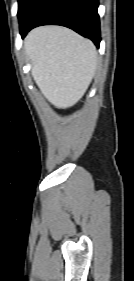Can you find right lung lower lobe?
Wrapping results in <instances>:
<instances>
[{"mask_svg":"<svg viewBox=\"0 0 134 281\" xmlns=\"http://www.w3.org/2000/svg\"><path fill=\"white\" fill-rule=\"evenodd\" d=\"M98 0H35L20 24L22 38L40 25H62L100 44Z\"/></svg>","mask_w":134,"mask_h":281,"instance_id":"1","label":"right lung lower lobe"}]
</instances>
